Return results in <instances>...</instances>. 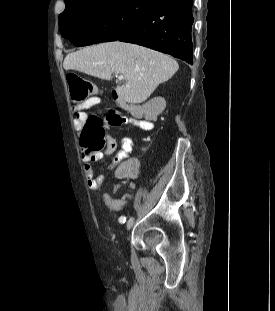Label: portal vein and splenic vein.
<instances>
[{
    "instance_id": "18ae733b",
    "label": "portal vein and splenic vein",
    "mask_w": 275,
    "mask_h": 311,
    "mask_svg": "<svg viewBox=\"0 0 275 311\" xmlns=\"http://www.w3.org/2000/svg\"><path fill=\"white\" fill-rule=\"evenodd\" d=\"M118 79H119V80H123V79H124V76H123V75H118Z\"/></svg>"
}]
</instances>
